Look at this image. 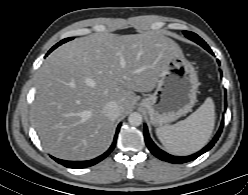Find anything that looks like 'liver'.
I'll return each instance as SVG.
<instances>
[{"label":"liver","mask_w":248,"mask_h":195,"mask_svg":"<svg viewBox=\"0 0 248 195\" xmlns=\"http://www.w3.org/2000/svg\"><path fill=\"white\" fill-rule=\"evenodd\" d=\"M182 54L165 35L92 34L54 50L38 70L32 118L44 149L65 160H89L104 153L114 121L103 113L116 101L120 116L133 107L135 92L157 85L168 59Z\"/></svg>","instance_id":"1"}]
</instances>
